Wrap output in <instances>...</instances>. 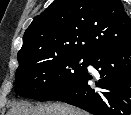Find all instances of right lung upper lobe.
<instances>
[{
    "instance_id": "right-lung-upper-lobe-1",
    "label": "right lung upper lobe",
    "mask_w": 131,
    "mask_h": 115,
    "mask_svg": "<svg viewBox=\"0 0 131 115\" xmlns=\"http://www.w3.org/2000/svg\"><path fill=\"white\" fill-rule=\"evenodd\" d=\"M130 45L131 19L119 0H56L25 31L18 69L54 54L88 59Z\"/></svg>"
}]
</instances>
